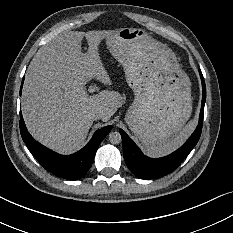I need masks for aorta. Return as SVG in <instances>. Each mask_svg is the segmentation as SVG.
<instances>
[{
  "label": "aorta",
  "mask_w": 233,
  "mask_h": 233,
  "mask_svg": "<svg viewBox=\"0 0 233 233\" xmlns=\"http://www.w3.org/2000/svg\"><path fill=\"white\" fill-rule=\"evenodd\" d=\"M121 134L117 131L109 133V141L111 144H119L121 142Z\"/></svg>",
  "instance_id": "1"
}]
</instances>
